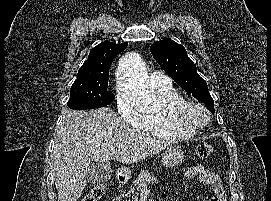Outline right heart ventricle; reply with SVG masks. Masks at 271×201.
<instances>
[{"label":"right heart ventricle","instance_id":"right-heart-ventricle-1","mask_svg":"<svg viewBox=\"0 0 271 201\" xmlns=\"http://www.w3.org/2000/svg\"><path fill=\"white\" fill-rule=\"evenodd\" d=\"M155 91L160 101V108L158 111L146 115L142 129L154 137L169 140L186 139L194 136L197 131L177 124L166 111V106L171 102L183 99L179 92L171 85L157 87Z\"/></svg>","mask_w":271,"mask_h":201}]
</instances>
